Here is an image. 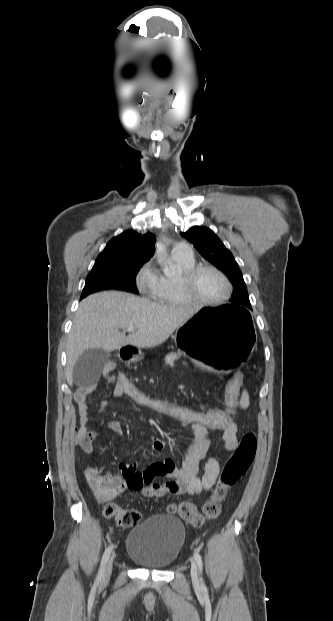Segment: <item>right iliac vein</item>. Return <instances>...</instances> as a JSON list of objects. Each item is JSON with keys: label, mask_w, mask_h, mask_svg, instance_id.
I'll list each match as a JSON object with an SVG mask.
<instances>
[{"label": "right iliac vein", "mask_w": 333, "mask_h": 621, "mask_svg": "<svg viewBox=\"0 0 333 621\" xmlns=\"http://www.w3.org/2000/svg\"><path fill=\"white\" fill-rule=\"evenodd\" d=\"M112 568H113L112 559H110L106 565L103 579H108L110 577L112 573Z\"/></svg>", "instance_id": "63e3f726"}]
</instances>
